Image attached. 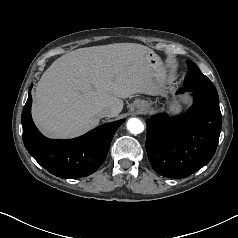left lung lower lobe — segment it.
I'll return each instance as SVG.
<instances>
[{
    "instance_id": "obj_1",
    "label": "left lung lower lobe",
    "mask_w": 238,
    "mask_h": 238,
    "mask_svg": "<svg viewBox=\"0 0 238 238\" xmlns=\"http://www.w3.org/2000/svg\"><path fill=\"white\" fill-rule=\"evenodd\" d=\"M194 94L185 117L159 114L146 121V150L153 169L169 178H183L205 166L213 157L222 127L218 94L185 85L179 93Z\"/></svg>"
}]
</instances>
